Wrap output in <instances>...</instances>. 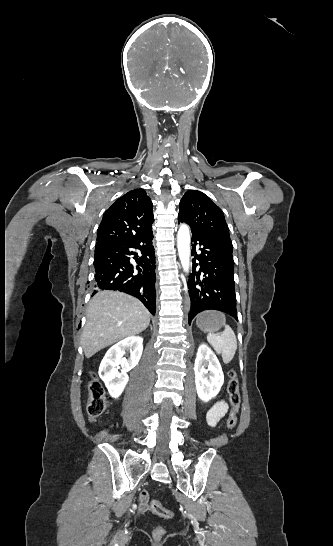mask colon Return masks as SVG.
Segmentation results:
<instances>
[{"instance_id": "5ec220e1", "label": "colon", "mask_w": 333, "mask_h": 546, "mask_svg": "<svg viewBox=\"0 0 333 546\" xmlns=\"http://www.w3.org/2000/svg\"><path fill=\"white\" fill-rule=\"evenodd\" d=\"M227 393L231 405V411L228 416L226 425L229 429H232L236 426L237 413L240 409L241 404L239 383L234 371L229 372ZM107 407L108 401L106 399L105 389L102 383L94 376L88 385L87 412L90 420L95 421L96 419L101 417ZM150 510L164 519H170L174 516V513L171 510L165 508L158 500H152L150 502ZM164 533L165 530L162 527H157L154 530V535L158 538H161Z\"/></svg>"}]
</instances>
